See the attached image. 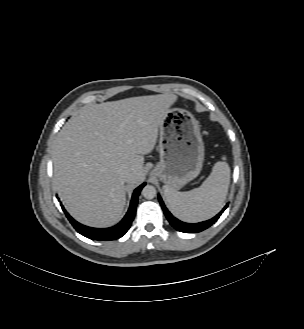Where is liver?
<instances>
[{"label": "liver", "instance_id": "6515ba94", "mask_svg": "<svg viewBox=\"0 0 304 329\" xmlns=\"http://www.w3.org/2000/svg\"><path fill=\"white\" fill-rule=\"evenodd\" d=\"M175 94L131 97L83 107L53 147L55 188L69 213L92 227H109L126 204L125 182L145 179L144 156L154 149ZM131 175L126 180L121 171Z\"/></svg>", "mask_w": 304, "mask_h": 329}]
</instances>
